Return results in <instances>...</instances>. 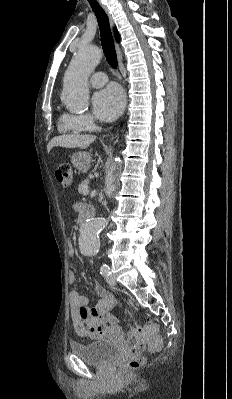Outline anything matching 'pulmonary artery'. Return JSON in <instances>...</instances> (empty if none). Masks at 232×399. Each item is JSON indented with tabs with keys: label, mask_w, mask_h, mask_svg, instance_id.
<instances>
[{
	"label": "pulmonary artery",
	"mask_w": 232,
	"mask_h": 399,
	"mask_svg": "<svg viewBox=\"0 0 232 399\" xmlns=\"http://www.w3.org/2000/svg\"><path fill=\"white\" fill-rule=\"evenodd\" d=\"M103 84H108V77H106L102 69H97L92 77V90H103Z\"/></svg>",
	"instance_id": "pulmonary-artery-1"
}]
</instances>
